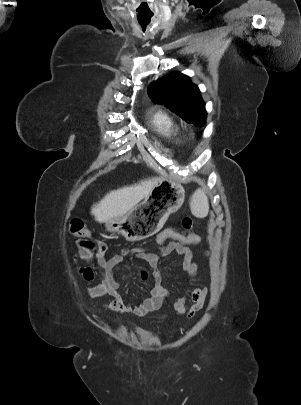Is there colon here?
<instances>
[{
    "instance_id": "obj_1",
    "label": "colon",
    "mask_w": 301,
    "mask_h": 405,
    "mask_svg": "<svg viewBox=\"0 0 301 405\" xmlns=\"http://www.w3.org/2000/svg\"><path fill=\"white\" fill-rule=\"evenodd\" d=\"M183 226L188 230V233H180L175 229L174 225H171L169 229H166L168 236L175 237L174 241L180 243L181 247H197L202 241V238L198 233L193 231L194 223L191 218L186 217L183 219ZM69 229L72 235L80 237L85 240L87 246L94 252L98 251L97 246L87 239L88 230L85 228L83 221L74 219L70 222Z\"/></svg>"
}]
</instances>
